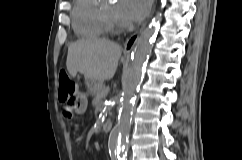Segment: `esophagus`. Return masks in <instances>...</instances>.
Returning <instances> with one entry per match:
<instances>
[{
    "mask_svg": "<svg viewBox=\"0 0 242 160\" xmlns=\"http://www.w3.org/2000/svg\"><path fill=\"white\" fill-rule=\"evenodd\" d=\"M146 23L147 22H145L144 24H143V26L141 27V29L140 30H137L136 32H134L127 40H126V42H125V44H124V51L125 52H130L133 48H134V46H135V44H136V42H137V40H138V38H139V35H140V33H141V31L143 30V28L146 26Z\"/></svg>",
    "mask_w": 242,
    "mask_h": 160,
    "instance_id": "esophagus-1",
    "label": "esophagus"
}]
</instances>
